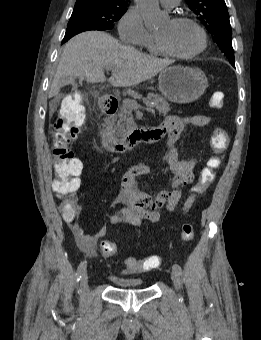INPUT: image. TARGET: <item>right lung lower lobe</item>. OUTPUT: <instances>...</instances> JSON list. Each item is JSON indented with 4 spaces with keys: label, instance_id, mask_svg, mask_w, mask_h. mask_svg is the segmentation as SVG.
<instances>
[{
    "label": "right lung lower lobe",
    "instance_id": "98d812e1",
    "mask_svg": "<svg viewBox=\"0 0 261 340\" xmlns=\"http://www.w3.org/2000/svg\"><path fill=\"white\" fill-rule=\"evenodd\" d=\"M89 30H97V29L91 26H87V25H72V26L67 27L62 44L68 41L74 35L80 32L89 31Z\"/></svg>",
    "mask_w": 261,
    "mask_h": 340
}]
</instances>
